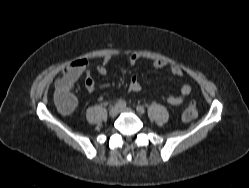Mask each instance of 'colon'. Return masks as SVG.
I'll return each instance as SVG.
<instances>
[{
  "instance_id": "5ec220e1",
  "label": "colon",
  "mask_w": 249,
  "mask_h": 188,
  "mask_svg": "<svg viewBox=\"0 0 249 188\" xmlns=\"http://www.w3.org/2000/svg\"><path fill=\"white\" fill-rule=\"evenodd\" d=\"M54 102L58 110L66 115L72 114L76 108V101L71 92L65 88L55 90ZM198 115L197 105L195 101H190L186 109L183 111L182 120L191 122Z\"/></svg>"
}]
</instances>
